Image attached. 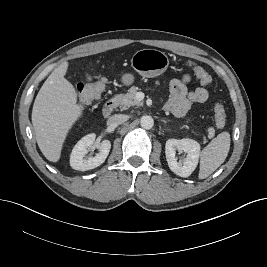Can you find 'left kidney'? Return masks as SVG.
Masks as SVG:
<instances>
[{"label":"left kidney","mask_w":267,"mask_h":267,"mask_svg":"<svg viewBox=\"0 0 267 267\" xmlns=\"http://www.w3.org/2000/svg\"><path fill=\"white\" fill-rule=\"evenodd\" d=\"M200 149V144L193 139H168L165 154L170 170L180 177L190 176L198 165ZM176 151L184 152L186 157L178 162Z\"/></svg>","instance_id":"5707ae66"}]
</instances>
